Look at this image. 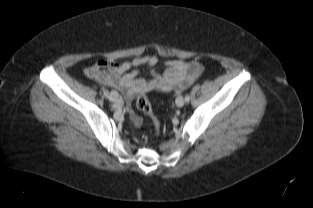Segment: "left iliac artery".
<instances>
[{
    "instance_id": "44dca946",
    "label": "left iliac artery",
    "mask_w": 313,
    "mask_h": 208,
    "mask_svg": "<svg viewBox=\"0 0 313 208\" xmlns=\"http://www.w3.org/2000/svg\"><path fill=\"white\" fill-rule=\"evenodd\" d=\"M189 100H190V96H189V95H186V96H185V101H186V102H189Z\"/></svg>"
}]
</instances>
